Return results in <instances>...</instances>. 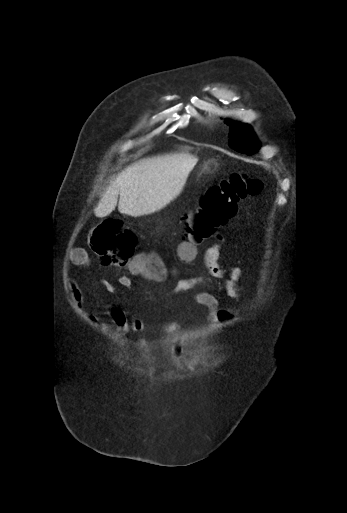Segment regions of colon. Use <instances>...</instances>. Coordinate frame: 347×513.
<instances>
[{
	"mask_svg": "<svg viewBox=\"0 0 347 513\" xmlns=\"http://www.w3.org/2000/svg\"><path fill=\"white\" fill-rule=\"evenodd\" d=\"M260 180L249 174L234 173L208 188L198 199L197 207L183 223L184 243L181 255L191 258L195 245L215 236L236 214L238 203L262 191ZM90 243L106 265L130 266L134 271L163 277L165 268L158 257L144 260L134 257L136 239L132 231L117 219H106L90 235Z\"/></svg>",
	"mask_w": 347,
	"mask_h": 513,
	"instance_id": "5ec220e1",
	"label": "colon"
}]
</instances>
